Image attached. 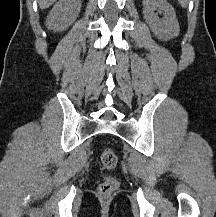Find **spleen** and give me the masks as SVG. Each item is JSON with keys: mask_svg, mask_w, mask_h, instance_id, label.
Segmentation results:
<instances>
[{"mask_svg": "<svg viewBox=\"0 0 216 217\" xmlns=\"http://www.w3.org/2000/svg\"><path fill=\"white\" fill-rule=\"evenodd\" d=\"M178 2L181 4L182 7H187L188 0H178Z\"/></svg>", "mask_w": 216, "mask_h": 217, "instance_id": "obj_1", "label": "spleen"}]
</instances>
